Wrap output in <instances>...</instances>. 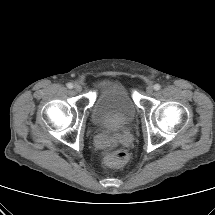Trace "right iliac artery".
I'll return each mask as SVG.
<instances>
[{
    "label": "right iliac artery",
    "instance_id": "1",
    "mask_svg": "<svg viewBox=\"0 0 215 215\" xmlns=\"http://www.w3.org/2000/svg\"><path fill=\"white\" fill-rule=\"evenodd\" d=\"M67 87H68L69 89H72V88H73V84H72V83H68V84H67Z\"/></svg>",
    "mask_w": 215,
    "mask_h": 215
}]
</instances>
